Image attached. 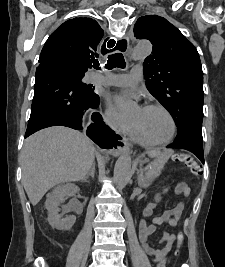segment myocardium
Returning <instances> with one entry per match:
<instances>
[{
    "label": "myocardium",
    "instance_id": "1",
    "mask_svg": "<svg viewBox=\"0 0 225 267\" xmlns=\"http://www.w3.org/2000/svg\"><path fill=\"white\" fill-rule=\"evenodd\" d=\"M142 108H145V109H158V110H161L162 112H164L169 117V119L171 120L172 133H171L170 137L167 138L166 140L153 141V140H150L143 133V131L140 129V127H138L136 124L133 123V127H134L135 131L138 133V135L144 140V142H146L148 145H151V146H162V145H166V144L171 143L175 139L176 134H177V130H178L177 122H176V119L173 116V114L166 107H164V106H162L160 104H156V103L145 104Z\"/></svg>",
    "mask_w": 225,
    "mask_h": 267
}]
</instances>
